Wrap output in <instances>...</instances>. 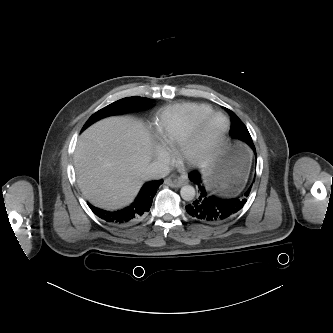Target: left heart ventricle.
<instances>
[{
  "mask_svg": "<svg viewBox=\"0 0 333 333\" xmlns=\"http://www.w3.org/2000/svg\"><path fill=\"white\" fill-rule=\"evenodd\" d=\"M221 124H222L221 119L213 120L209 126V131L211 133H215L220 128Z\"/></svg>",
  "mask_w": 333,
  "mask_h": 333,
  "instance_id": "obj_1",
  "label": "left heart ventricle"
}]
</instances>
